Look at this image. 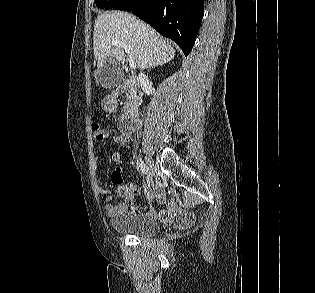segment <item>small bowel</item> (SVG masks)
Listing matches in <instances>:
<instances>
[{
    "label": "small bowel",
    "mask_w": 315,
    "mask_h": 293,
    "mask_svg": "<svg viewBox=\"0 0 315 293\" xmlns=\"http://www.w3.org/2000/svg\"><path fill=\"white\" fill-rule=\"evenodd\" d=\"M130 139L129 134L120 133L112 137L111 142L113 144L125 145ZM126 188L130 190H123L122 197H124L125 202L113 204V196L111 192L105 188L102 184L97 183L98 191L103 195L105 210L109 215L120 214L126 211H132L135 213H140L141 209L137 208L133 202H136L137 197V187L133 184L125 185ZM135 193H134V192ZM149 197L156 199L161 204L165 205V208L159 212L154 210L150 211V215L160 219L166 223H175L179 228L189 226L193 223L194 218L191 214H188L183 208L180 207L176 199H171L167 201L163 197V189L161 187H155L152 190L148 191ZM131 202V203H130Z\"/></svg>",
    "instance_id": "c3829d8e"
}]
</instances>
